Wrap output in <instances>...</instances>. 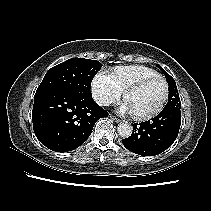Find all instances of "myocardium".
<instances>
[{
    "mask_svg": "<svg viewBox=\"0 0 211 211\" xmlns=\"http://www.w3.org/2000/svg\"><path fill=\"white\" fill-rule=\"evenodd\" d=\"M156 80H160L164 83L165 95L163 97V100L161 101L160 105L154 111H152L150 113H147V114L132 113V116L136 120L147 121V120H150V119L156 117L157 115H159L163 111V109L165 108V105H166V103L169 99V96H170L169 84L164 77H162L161 75H158V76H151V77L143 78V79H141L138 82L132 84L131 86H129L128 88H126L124 90L123 97H124V99H126V97L129 93L137 91V90L143 88L144 86H146L147 84H149L150 82H153V81H156Z\"/></svg>",
    "mask_w": 211,
    "mask_h": 211,
    "instance_id": "myocardium-1",
    "label": "myocardium"
}]
</instances>
